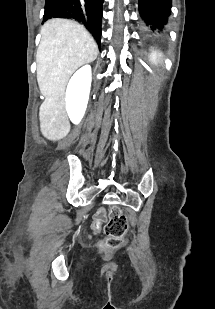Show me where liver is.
Instances as JSON below:
<instances>
[{"label":"liver","mask_w":215,"mask_h":309,"mask_svg":"<svg viewBox=\"0 0 215 309\" xmlns=\"http://www.w3.org/2000/svg\"><path fill=\"white\" fill-rule=\"evenodd\" d=\"M98 46L83 24L67 18H50L41 28L36 54L37 80L45 96L39 118L42 134L59 140L70 130L64 104L66 84L73 72L95 60Z\"/></svg>","instance_id":"obj_1"}]
</instances>
